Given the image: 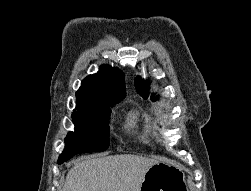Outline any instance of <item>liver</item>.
Returning a JSON list of instances; mask_svg holds the SVG:
<instances>
[{"mask_svg":"<svg viewBox=\"0 0 251 191\" xmlns=\"http://www.w3.org/2000/svg\"><path fill=\"white\" fill-rule=\"evenodd\" d=\"M157 159L121 153L81 157L69 169L63 191H140L149 167Z\"/></svg>","mask_w":251,"mask_h":191,"instance_id":"obj_1","label":"liver"}]
</instances>
